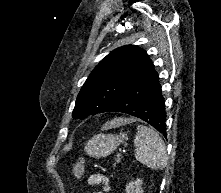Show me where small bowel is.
<instances>
[{
	"instance_id": "small-bowel-1",
	"label": "small bowel",
	"mask_w": 221,
	"mask_h": 193,
	"mask_svg": "<svg viewBox=\"0 0 221 193\" xmlns=\"http://www.w3.org/2000/svg\"><path fill=\"white\" fill-rule=\"evenodd\" d=\"M87 183L90 186H101L102 189L96 193H108L110 190L109 178L106 174L101 172L90 175L87 179Z\"/></svg>"
}]
</instances>
